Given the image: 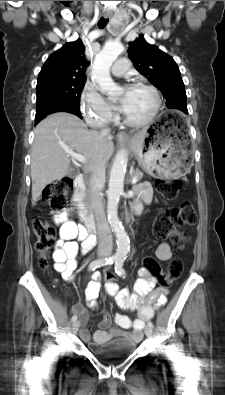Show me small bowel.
<instances>
[{
  "mask_svg": "<svg viewBox=\"0 0 225 395\" xmlns=\"http://www.w3.org/2000/svg\"><path fill=\"white\" fill-rule=\"evenodd\" d=\"M138 193L144 203H149L152 200V189L148 183L141 184L138 187ZM137 208H140V205ZM56 221L60 224V235L53 254L54 268L61 273L65 280L73 281L75 279L74 272L77 267L78 254L88 253L95 245L96 238L89 234L84 227L68 219L66 214L57 216ZM171 256L172 252L169 244L165 241L161 242L156 250L157 259L168 261ZM153 276L150 272H141L139 270V279L134 285V294H130L127 289H120V283L104 285V290L115 296L117 304L121 308L137 310L138 318L132 320L127 315L119 314L116 316L118 326L111 327L110 317L105 315L99 324V329L93 335V340L96 344H103L110 339L119 337L133 341L142 339L144 323L153 315V309L150 304L159 307L166 302V290L161 287L155 288L156 281H154ZM100 289V274L96 272L92 275V280L85 289V296L90 308L96 307V299ZM74 312L79 315L82 324L80 336L85 342H89L91 337L84 326L89 317L88 311L81 304H77L74 307ZM128 329H132V331H127Z\"/></svg>",
  "mask_w": 225,
  "mask_h": 395,
  "instance_id": "c3829d8e",
  "label": "small bowel"
}]
</instances>
